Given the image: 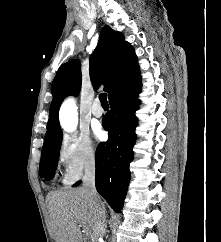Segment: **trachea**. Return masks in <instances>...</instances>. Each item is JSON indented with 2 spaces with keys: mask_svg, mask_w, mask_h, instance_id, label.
I'll use <instances>...</instances> for the list:
<instances>
[{
  "mask_svg": "<svg viewBox=\"0 0 221 242\" xmlns=\"http://www.w3.org/2000/svg\"><path fill=\"white\" fill-rule=\"evenodd\" d=\"M99 100L101 102V105L104 106H109L108 101H107V94L106 93H101L99 95Z\"/></svg>",
  "mask_w": 221,
  "mask_h": 242,
  "instance_id": "obj_1",
  "label": "trachea"
}]
</instances>
